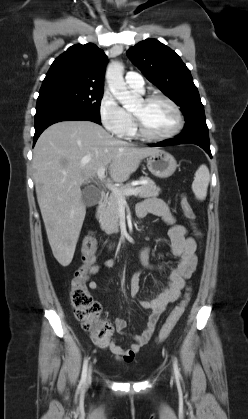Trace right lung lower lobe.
<instances>
[{"instance_id": "right-lung-lower-lobe-1", "label": "right lung lower lobe", "mask_w": 248, "mask_h": 419, "mask_svg": "<svg viewBox=\"0 0 248 419\" xmlns=\"http://www.w3.org/2000/svg\"><path fill=\"white\" fill-rule=\"evenodd\" d=\"M67 120H88L100 124V119L75 108H57L41 112L35 115V135L33 144L36 143L40 134L50 125Z\"/></svg>"}]
</instances>
